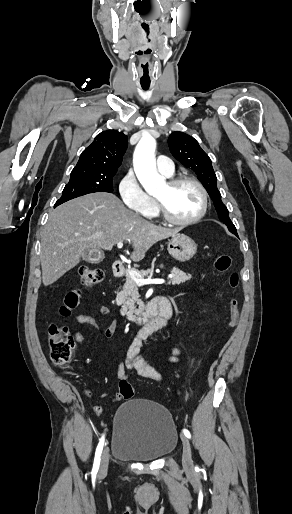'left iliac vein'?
Returning a JSON list of instances; mask_svg holds the SVG:
<instances>
[{
  "mask_svg": "<svg viewBox=\"0 0 292 514\" xmlns=\"http://www.w3.org/2000/svg\"><path fill=\"white\" fill-rule=\"evenodd\" d=\"M182 445H183V453H182V464L184 469L191 470L193 467L192 453H191V445L189 439L185 435L180 436Z\"/></svg>",
  "mask_w": 292,
  "mask_h": 514,
  "instance_id": "left-iliac-vein-1",
  "label": "left iliac vein"
}]
</instances>
